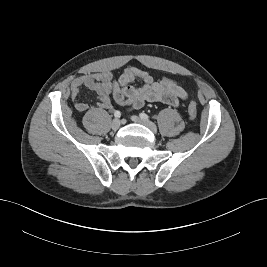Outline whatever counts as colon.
Segmentation results:
<instances>
[{
    "label": "colon",
    "instance_id": "1",
    "mask_svg": "<svg viewBox=\"0 0 267 267\" xmlns=\"http://www.w3.org/2000/svg\"><path fill=\"white\" fill-rule=\"evenodd\" d=\"M188 114L192 119H195L197 117V107L194 101H190L188 105Z\"/></svg>",
    "mask_w": 267,
    "mask_h": 267
}]
</instances>
